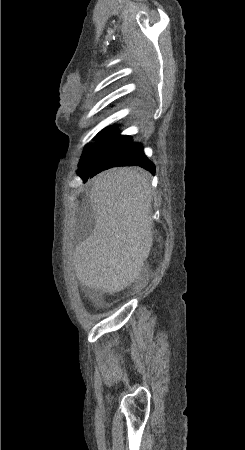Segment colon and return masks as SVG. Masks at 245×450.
Here are the masks:
<instances>
[{
  "label": "colon",
  "instance_id": "obj_1",
  "mask_svg": "<svg viewBox=\"0 0 245 450\" xmlns=\"http://www.w3.org/2000/svg\"><path fill=\"white\" fill-rule=\"evenodd\" d=\"M142 286H143V280H142V278L140 277V278H138V280H137V281L135 282V284L133 285L132 290H133V291H137V290H139Z\"/></svg>",
  "mask_w": 245,
  "mask_h": 450
}]
</instances>
